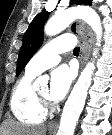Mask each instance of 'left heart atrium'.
Listing matches in <instances>:
<instances>
[{"mask_svg": "<svg viewBox=\"0 0 112 135\" xmlns=\"http://www.w3.org/2000/svg\"><path fill=\"white\" fill-rule=\"evenodd\" d=\"M74 77V70L67 65H61L53 70L51 73L49 98L53 101L62 100L70 89Z\"/></svg>", "mask_w": 112, "mask_h": 135, "instance_id": "1", "label": "left heart atrium"}]
</instances>
